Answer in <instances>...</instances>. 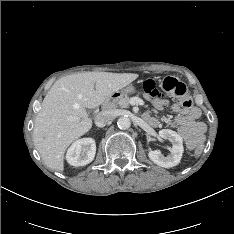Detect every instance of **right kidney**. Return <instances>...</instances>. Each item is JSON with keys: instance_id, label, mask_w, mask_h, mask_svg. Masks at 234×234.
I'll list each match as a JSON object with an SVG mask.
<instances>
[{"instance_id": "obj_1", "label": "right kidney", "mask_w": 234, "mask_h": 234, "mask_svg": "<svg viewBox=\"0 0 234 234\" xmlns=\"http://www.w3.org/2000/svg\"><path fill=\"white\" fill-rule=\"evenodd\" d=\"M95 153V140L92 138H82L76 140L69 147L66 160L72 166H84L93 161Z\"/></svg>"}]
</instances>
